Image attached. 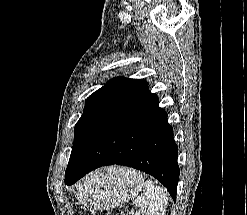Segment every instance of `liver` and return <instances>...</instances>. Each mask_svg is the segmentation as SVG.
Here are the masks:
<instances>
[{
  "label": "liver",
  "instance_id": "1",
  "mask_svg": "<svg viewBox=\"0 0 247 215\" xmlns=\"http://www.w3.org/2000/svg\"><path fill=\"white\" fill-rule=\"evenodd\" d=\"M112 168H114V167H110V168H109V171H111ZM120 172H121V173H124V172H126V169H125V168H121V169H120Z\"/></svg>",
  "mask_w": 247,
  "mask_h": 215
}]
</instances>
